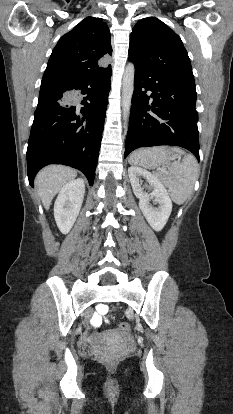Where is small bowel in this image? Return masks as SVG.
I'll use <instances>...</instances> for the list:
<instances>
[{"label":"small bowel","instance_id":"small-bowel-1","mask_svg":"<svg viewBox=\"0 0 233 414\" xmlns=\"http://www.w3.org/2000/svg\"><path fill=\"white\" fill-rule=\"evenodd\" d=\"M107 306L104 304H99L97 307V311L98 313L94 314L91 318V322L93 325L95 326H99L101 324V314H105L107 312Z\"/></svg>","mask_w":233,"mask_h":414}]
</instances>
